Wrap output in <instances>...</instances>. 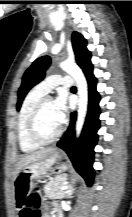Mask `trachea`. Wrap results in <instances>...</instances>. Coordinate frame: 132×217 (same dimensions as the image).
<instances>
[{"instance_id":"3493384b","label":"trachea","mask_w":132,"mask_h":217,"mask_svg":"<svg viewBox=\"0 0 132 217\" xmlns=\"http://www.w3.org/2000/svg\"><path fill=\"white\" fill-rule=\"evenodd\" d=\"M75 88H76L75 86L72 87V89H75Z\"/></svg>"}]
</instances>
